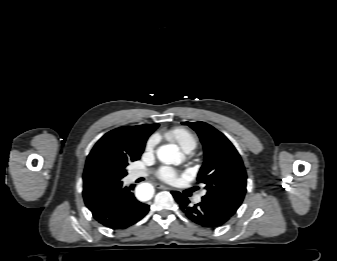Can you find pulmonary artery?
Wrapping results in <instances>:
<instances>
[{
	"mask_svg": "<svg viewBox=\"0 0 337 261\" xmlns=\"http://www.w3.org/2000/svg\"><path fill=\"white\" fill-rule=\"evenodd\" d=\"M142 176H145V172H143L141 170H134L130 174V178L133 179V180L137 179L139 177H142ZM195 201L197 203L200 202L201 201V196H197L196 199H195Z\"/></svg>",
	"mask_w": 337,
	"mask_h": 261,
	"instance_id": "e3ab8cb5",
	"label": "pulmonary artery"
}]
</instances>
